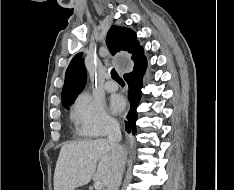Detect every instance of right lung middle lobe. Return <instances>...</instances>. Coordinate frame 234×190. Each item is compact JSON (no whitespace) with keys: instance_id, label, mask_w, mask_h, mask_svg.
I'll use <instances>...</instances> for the list:
<instances>
[{"instance_id":"1","label":"right lung middle lobe","mask_w":234,"mask_h":190,"mask_svg":"<svg viewBox=\"0 0 234 190\" xmlns=\"http://www.w3.org/2000/svg\"><path fill=\"white\" fill-rule=\"evenodd\" d=\"M73 103V101L62 104L64 106V108L68 109L69 105H71Z\"/></svg>"}]
</instances>
